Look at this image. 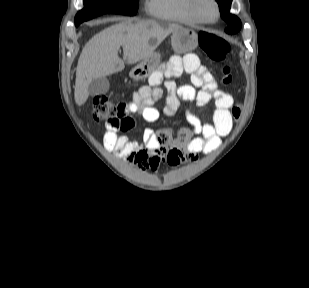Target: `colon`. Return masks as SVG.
<instances>
[{"label": "colon", "mask_w": 309, "mask_h": 288, "mask_svg": "<svg viewBox=\"0 0 309 288\" xmlns=\"http://www.w3.org/2000/svg\"><path fill=\"white\" fill-rule=\"evenodd\" d=\"M198 42L202 51L212 60L223 61L229 51L227 42L209 31H201L198 34ZM221 83L228 85L232 80L231 68L223 66ZM92 115L98 121L120 120L134 123L133 118L126 112L122 104L112 102L105 94H97L93 100ZM241 115V106L232 107V116L238 120Z\"/></svg>", "instance_id": "1"}]
</instances>
